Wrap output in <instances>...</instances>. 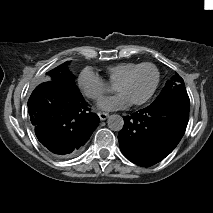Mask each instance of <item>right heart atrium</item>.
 <instances>
[{
	"label": "right heart atrium",
	"mask_w": 213,
	"mask_h": 213,
	"mask_svg": "<svg viewBox=\"0 0 213 213\" xmlns=\"http://www.w3.org/2000/svg\"><path fill=\"white\" fill-rule=\"evenodd\" d=\"M78 85L86 97L96 101H100L109 91V86L104 79L89 68H85L80 73Z\"/></svg>",
	"instance_id": "right-heart-atrium-1"
}]
</instances>
